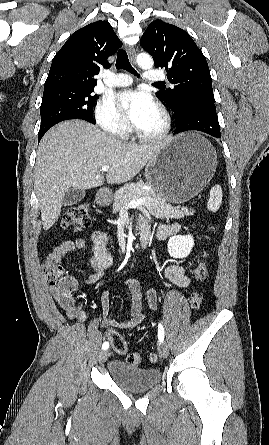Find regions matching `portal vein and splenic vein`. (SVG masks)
I'll list each match as a JSON object with an SVG mask.
<instances>
[{
  "mask_svg": "<svg viewBox=\"0 0 269 445\" xmlns=\"http://www.w3.org/2000/svg\"><path fill=\"white\" fill-rule=\"evenodd\" d=\"M109 169H110V167L108 165L101 167L102 172H107ZM146 202H147V200L145 198H138V199L132 200L128 204H126L125 208L126 209L136 208V207L144 205Z\"/></svg>",
  "mask_w": 269,
  "mask_h": 445,
  "instance_id": "portal-vein-and-splenic-vein-1",
  "label": "portal vein and splenic vein"
}]
</instances>
